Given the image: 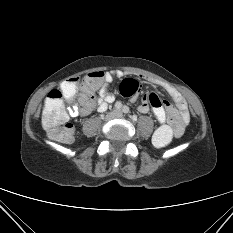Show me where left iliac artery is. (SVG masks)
Here are the masks:
<instances>
[{"label": "left iliac artery", "mask_w": 233, "mask_h": 233, "mask_svg": "<svg viewBox=\"0 0 233 233\" xmlns=\"http://www.w3.org/2000/svg\"><path fill=\"white\" fill-rule=\"evenodd\" d=\"M123 112L124 113H128L129 112V108L127 106H123Z\"/></svg>", "instance_id": "left-iliac-artery-1"}]
</instances>
